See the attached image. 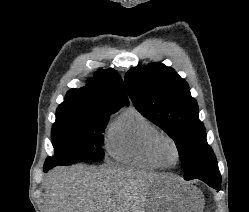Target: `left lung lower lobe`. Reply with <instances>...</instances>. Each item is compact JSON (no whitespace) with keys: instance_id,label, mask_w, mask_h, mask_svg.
<instances>
[{"instance_id":"1","label":"left lung lower lobe","mask_w":249,"mask_h":212,"mask_svg":"<svg viewBox=\"0 0 249 212\" xmlns=\"http://www.w3.org/2000/svg\"><path fill=\"white\" fill-rule=\"evenodd\" d=\"M199 180H202L206 184H208L210 187L216 189L219 191L221 189V176H205V177H199L197 178ZM185 180H191V179H186Z\"/></svg>"}]
</instances>
